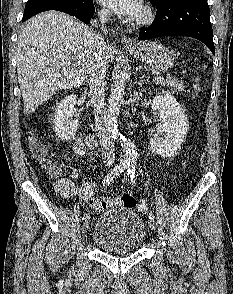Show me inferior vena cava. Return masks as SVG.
Here are the masks:
<instances>
[{"label": "inferior vena cava", "mask_w": 233, "mask_h": 294, "mask_svg": "<svg viewBox=\"0 0 233 294\" xmlns=\"http://www.w3.org/2000/svg\"><path fill=\"white\" fill-rule=\"evenodd\" d=\"M101 21V30L104 34L107 33L105 23L108 21L109 11L103 9L98 12ZM95 52L89 61L87 68L88 83L90 93L92 95V103L94 105L95 128L99 138L101 153L107 164H112L115 160V145L107 127V117L105 112V77L107 62L104 56V49L108 42L104 35L95 36Z\"/></svg>", "instance_id": "602c4592"}]
</instances>
